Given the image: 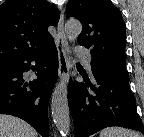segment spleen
I'll list each match as a JSON object with an SVG mask.
<instances>
[{
  "label": "spleen",
  "mask_w": 144,
  "mask_h": 137,
  "mask_svg": "<svg viewBox=\"0 0 144 137\" xmlns=\"http://www.w3.org/2000/svg\"><path fill=\"white\" fill-rule=\"evenodd\" d=\"M99 137H140L139 133L121 127H108L100 132Z\"/></svg>",
  "instance_id": "1"
}]
</instances>
